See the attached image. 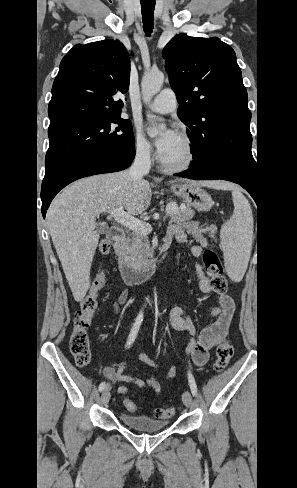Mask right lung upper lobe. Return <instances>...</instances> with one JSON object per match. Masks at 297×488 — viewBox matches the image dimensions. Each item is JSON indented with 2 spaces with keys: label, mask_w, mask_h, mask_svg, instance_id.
<instances>
[{
  "label": "right lung upper lobe",
  "mask_w": 297,
  "mask_h": 488,
  "mask_svg": "<svg viewBox=\"0 0 297 488\" xmlns=\"http://www.w3.org/2000/svg\"><path fill=\"white\" fill-rule=\"evenodd\" d=\"M130 61L120 41L75 45L62 59L48 106V133L120 116L123 102L112 96L129 89Z\"/></svg>",
  "instance_id": "cb5924a9"
}]
</instances>
